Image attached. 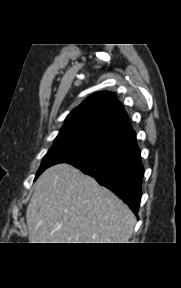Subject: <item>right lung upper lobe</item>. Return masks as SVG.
Masks as SVG:
<instances>
[{
  "mask_svg": "<svg viewBox=\"0 0 181 288\" xmlns=\"http://www.w3.org/2000/svg\"><path fill=\"white\" fill-rule=\"evenodd\" d=\"M80 139L118 154L137 147L136 135L116 96L107 91L87 98L67 116L57 140Z\"/></svg>",
  "mask_w": 181,
  "mask_h": 288,
  "instance_id": "cb5924a9",
  "label": "right lung upper lobe"
}]
</instances>
